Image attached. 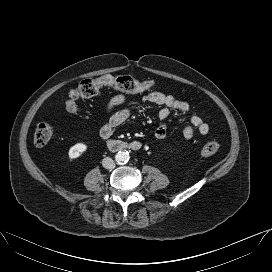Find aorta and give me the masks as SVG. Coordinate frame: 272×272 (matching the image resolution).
Wrapping results in <instances>:
<instances>
[{
    "mask_svg": "<svg viewBox=\"0 0 272 272\" xmlns=\"http://www.w3.org/2000/svg\"><path fill=\"white\" fill-rule=\"evenodd\" d=\"M129 158H130L129 152L125 151V150L124 151H119L115 155V160L120 164L128 162Z\"/></svg>",
    "mask_w": 272,
    "mask_h": 272,
    "instance_id": "obj_1",
    "label": "aorta"
}]
</instances>
